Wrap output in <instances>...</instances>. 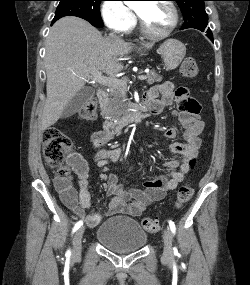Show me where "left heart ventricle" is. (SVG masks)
<instances>
[{
  "label": "left heart ventricle",
  "instance_id": "b2bd125f",
  "mask_svg": "<svg viewBox=\"0 0 250 285\" xmlns=\"http://www.w3.org/2000/svg\"><path fill=\"white\" fill-rule=\"evenodd\" d=\"M136 11L151 33L162 34L172 23V12L164 3L140 2L136 5Z\"/></svg>",
  "mask_w": 250,
  "mask_h": 285
}]
</instances>
